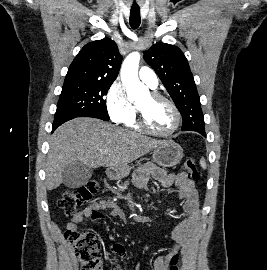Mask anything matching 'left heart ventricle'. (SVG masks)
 Masks as SVG:
<instances>
[{
	"label": "left heart ventricle",
	"instance_id": "obj_1",
	"mask_svg": "<svg viewBox=\"0 0 267 270\" xmlns=\"http://www.w3.org/2000/svg\"><path fill=\"white\" fill-rule=\"evenodd\" d=\"M137 107L143 112L147 124L154 130L166 132L173 127L174 114L166 102L147 95L137 103Z\"/></svg>",
	"mask_w": 267,
	"mask_h": 270
}]
</instances>
